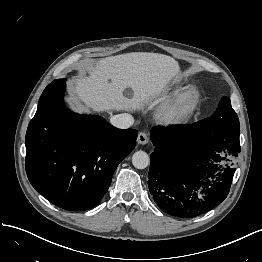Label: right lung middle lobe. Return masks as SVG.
Masks as SVG:
<instances>
[{
	"label": "right lung middle lobe",
	"instance_id": "right-lung-middle-lobe-1",
	"mask_svg": "<svg viewBox=\"0 0 262 262\" xmlns=\"http://www.w3.org/2000/svg\"><path fill=\"white\" fill-rule=\"evenodd\" d=\"M61 82H65V79H58V80H54L52 83L54 84H59Z\"/></svg>",
	"mask_w": 262,
	"mask_h": 262
}]
</instances>
